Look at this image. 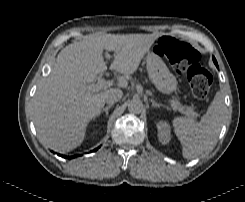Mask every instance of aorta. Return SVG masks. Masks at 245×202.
I'll return each instance as SVG.
<instances>
[{"label":"aorta","mask_w":245,"mask_h":202,"mask_svg":"<svg viewBox=\"0 0 245 202\" xmlns=\"http://www.w3.org/2000/svg\"><path fill=\"white\" fill-rule=\"evenodd\" d=\"M128 110L131 113L139 114L143 110V104L139 99H132L128 103Z\"/></svg>","instance_id":"aorta-1"}]
</instances>
